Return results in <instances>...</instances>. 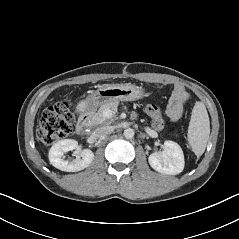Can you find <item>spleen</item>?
<instances>
[{
  "label": "spleen",
  "instance_id": "3e777b00",
  "mask_svg": "<svg viewBox=\"0 0 239 239\" xmlns=\"http://www.w3.org/2000/svg\"><path fill=\"white\" fill-rule=\"evenodd\" d=\"M210 134L208 112L203 102H196L191 114L187 140L193 152L201 156L206 148Z\"/></svg>",
  "mask_w": 239,
  "mask_h": 239
}]
</instances>
